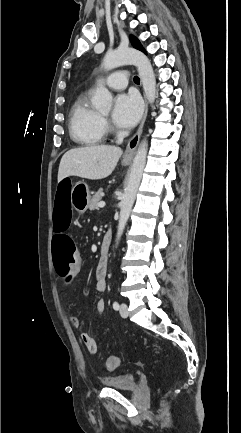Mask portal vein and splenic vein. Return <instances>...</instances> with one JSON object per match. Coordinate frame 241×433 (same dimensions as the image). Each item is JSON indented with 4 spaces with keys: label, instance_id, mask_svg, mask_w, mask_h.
<instances>
[{
    "label": "portal vein and splenic vein",
    "instance_id": "18ae733b",
    "mask_svg": "<svg viewBox=\"0 0 241 433\" xmlns=\"http://www.w3.org/2000/svg\"><path fill=\"white\" fill-rule=\"evenodd\" d=\"M104 206H105V202L104 201L99 202L98 207L103 208Z\"/></svg>",
    "mask_w": 241,
    "mask_h": 433
}]
</instances>
